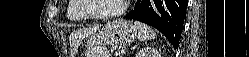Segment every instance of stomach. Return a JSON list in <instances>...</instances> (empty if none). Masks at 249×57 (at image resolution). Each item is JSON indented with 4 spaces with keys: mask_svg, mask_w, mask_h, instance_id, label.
I'll return each mask as SVG.
<instances>
[{
    "mask_svg": "<svg viewBox=\"0 0 249 57\" xmlns=\"http://www.w3.org/2000/svg\"><path fill=\"white\" fill-rule=\"evenodd\" d=\"M137 36V29L131 21L115 20L107 23L98 33L87 40L85 57H110L107 46L125 47Z\"/></svg>",
    "mask_w": 249,
    "mask_h": 57,
    "instance_id": "0dacf381",
    "label": "stomach"
}]
</instances>
